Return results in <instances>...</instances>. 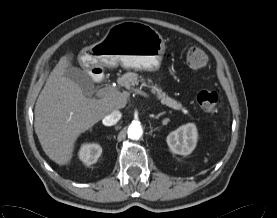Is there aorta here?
I'll use <instances>...</instances> for the list:
<instances>
[{"label":"aorta","mask_w":277,"mask_h":218,"mask_svg":"<svg viewBox=\"0 0 277 218\" xmlns=\"http://www.w3.org/2000/svg\"><path fill=\"white\" fill-rule=\"evenodd\" d=\"M128 137L132 140H138L142 133H143V130H142V127L140 125V123L138 122H134L132 123L129 127H128Z\"/></svg>","instance_id":"1"}]
</instances>
